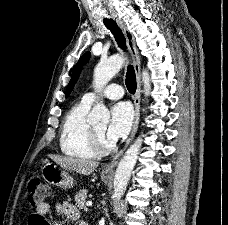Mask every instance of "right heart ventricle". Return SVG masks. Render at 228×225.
<instances>
[{"label":"right heart ventricle","instance_id":"e07e8e85","mask_svg":"<svg viewBox=\"0 0 228 225\" xmlns=\"http://www.w3.org/2000/svg\"><path fill=\"white\" fill-rule=\"evenodd\" d=\"M90 106L80 100L66 113L59 140L60 150L65 156L90 159L99 154L92 141V126L87 120Z\"/></svg>","mask_w":228,"mask_h":225}]
</instances>
